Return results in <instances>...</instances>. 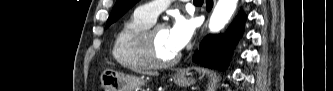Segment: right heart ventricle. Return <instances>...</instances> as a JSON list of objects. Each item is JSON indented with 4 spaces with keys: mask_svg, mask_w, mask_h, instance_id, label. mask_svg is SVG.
Instances as JSON below:
<instances>
[{
    "mask_svg": "<svg viewBox=\"0 0 333 91\" xmlns=\"http://www.w3.org/2000/svg\"><path fill=\"white\" fill-rule=\"evenodd\" d=\"M154 21L135 11L126 19L115 34L112 55L123 68L132 71H143L150 68L145 61L139 38L141 33L152 25Z\"/></svg>",
    "mask_w": 333,
    "mask_h": 91,
    "instance_id": "e07e8e85",
    "label": "right heart ventricle"
}]
</instances>
